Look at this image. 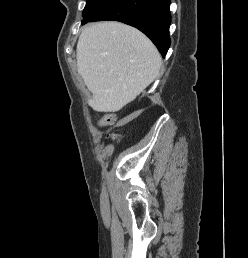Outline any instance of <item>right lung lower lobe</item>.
Segmentation results:
<instances>
[{"instance_id":"98d812e1","label":"right lung lower lobe","mask_w":248,"mask_h":258,"mask_svg":"<svg viewBox=\"0 0 248 258\" xmlns=\"http://www.w3.org/2000/svg\"><path fill=\"white\" fill-rule=\"evenodd\" d=\"M170 0H116L93 19L82 21L115 20L131 25L146 34L165 57L171 40Z\"/></svg>"}]
</instances>
